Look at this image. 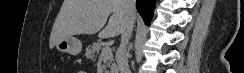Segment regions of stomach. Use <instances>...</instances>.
<instances>
[{"label": "stomach", "instance_id": "obj_1", "mask_svg": "<svg viewBox=\"0 0 244 73\" xmlns=\"http://www.w3.org/2000/svg\"><path fill=\"white\" fill-rule=\"evenodd\" d=\"M56 49L61 53H68L71 55H78L82 50V43L79 39L71 36L59 41L55 45Z\"/></svg>", "mask_w": 244, "mask_h": 73}]
</instances>
